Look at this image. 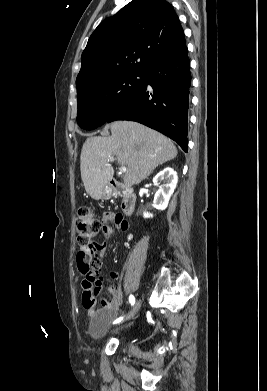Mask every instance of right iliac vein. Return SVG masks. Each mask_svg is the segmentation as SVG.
Wrapping results in <instances>:
<instances>
[{
	"instance_id": "obj_1",
	"label": "right iliac vein",
	"mask_w": 267,
	"mask_h": 391,
	"mask_svg": "<svg viewBox=\"0 0 267 391\" xmlns=\"http://www.w3.org/2000/svg\"><path fill=\"white\" fill-rule=\"evenodd\" d=\"M141 303H142L141 299L137 300V302L135 303V305L132 308L131 312L126 317V321H129V320L134 318V316L137 314V312L139 311V309L141 307Z\"/></svg>"
}]
</instances>
